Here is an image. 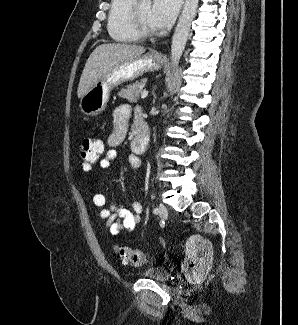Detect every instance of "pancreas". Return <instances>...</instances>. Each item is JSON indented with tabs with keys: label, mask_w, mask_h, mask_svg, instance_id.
Instances as JSON below:
<instances>
[{
	"label": "pancreas",
	"mask_w": 298,
	"mask_h": 325,
	"mask_svg": "<svg viewBox=\"0 0 298 325\" xmlns=\"http://www.w3.org/2000/svg\"><path fill=\"white\" fill-rule=\"evenodd\" d=\"M147 80L148 78H140V80H136V82H131V84H127L125 88H121V90H119L118 96L126 98V100H129V102H137L142 92V90H140V86H144Z\"/></svg>",
	"instance_id": "pancreas-1"
}]
</instances>
